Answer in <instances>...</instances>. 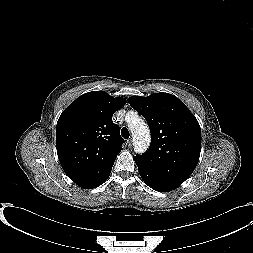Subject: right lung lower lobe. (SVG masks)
Masks as SVG:
<instances>
[{
    "label": "right lung lower lobe",
    "instance_id": "right-lung-lower-lobe-1",
    "mask_svg": "<svg viewBox=\"0 0 253 253\" xmlns=\"http://www.w3.org/2000/svg\"><path fill=\"white\" fill-rule=\"evenodd\" d=\"M108 177H109V175L106 176L105 178L99 180L98 182L93 183L92 185L86 186V187H84V188H86V189L96 188V187H98L99 185H101Z\"/></svg>",
    "mask_w": 253,
    "mask_h": 253
}]
</instances>
